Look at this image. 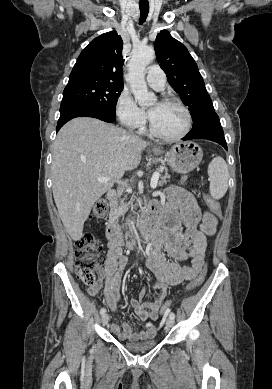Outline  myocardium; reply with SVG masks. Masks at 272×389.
I'll use <instances>...</instances> for the list:
<instances>
[{
  "label": "myocardium",
  "mask_w": 272,
  "mask_h": 389,
  "mask_svg": "<svg viewBox=\"0 0 272 389\" xmlns=\"http://www.w3.org/2000/svg\"><path fill=\"white\" fill-rule=\"evenodd\" d=\"M159 102L162 104H171V105H175V106L179 107L185 115L186 124H185L184 129L180 133H178L176 135H166V134L159 132L155 128V126L152 122V119L149 115V129H150V132L152 133V135H154L155 137H157L159 139L165 140V141H177V140L184 138L186 135H188V133L191 131V128H192V116H191V113H190V110L188 109V107L185 104H183L180 100L175 99V98H171V97H164V98L160 99Z\"/></svg>",
  "instance_id": "myocardium-1"
}]
</instances>
